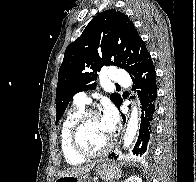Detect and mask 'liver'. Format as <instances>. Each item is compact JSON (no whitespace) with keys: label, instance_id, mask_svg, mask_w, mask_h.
Listing matches in <instances>:
<instances>
[{"label":"liver","instance_id":"obj_1","mask_svg":"<svg viewBox=\"0 0 196 182\" xmlns=\"http://www.w3.org/2000/svg\"><path fill=\"white\" fill-rule=\"evenodd\" d=\"M95 164H89L86 166H78V167H72L67 169L65 172L62 173V176H85L87 173H89L93 168Z\"/></svg>","mask_w":196,"mask_h":182}]
</instances>
